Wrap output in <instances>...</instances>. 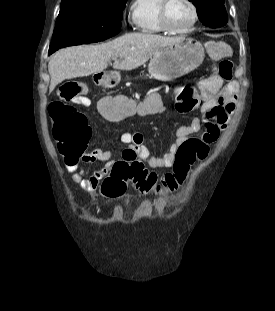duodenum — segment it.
<instances>
[{
  "instance_id": "1",
  "label": "duodenum",
  "mask_w": 275,
  "mask_h": 311,
  "mask_svg": "<svg viewBox=\"0 0 275 311\" xmlns=\"http://www.w3.org/2000/svg\"><path fill=\"white\" fill-rule=\"evenodd\" d=\"M103 75H106V70H97L96 74H92V81L94 84H101L102 82H105V79H103Z\"/></svg>"
}]
</instances>
